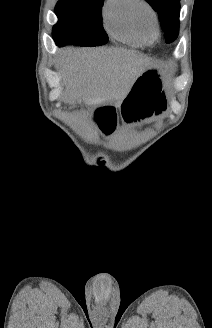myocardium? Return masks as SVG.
Wrapping results in <instances>:
<instances>
[{"mask_svg":"<svg viewBox=\"0 0 212 328\" xmlns=\"http://www.w3.org/2000/svg\"><path fill=\"white\" fill-rule=\"evenodd\" d=\"M134 14L142 30L158 32V16L154 8L149 3L144 0H138Z\"/></svg>","mask_w":212,"mask_h":328,"instance_id":"1","label":"myocardium"}]
</instances>
